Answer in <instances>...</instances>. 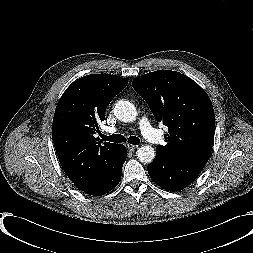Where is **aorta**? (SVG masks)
Instances as JSON below:
<instances>
[{"mask_svg": "<svg viewBox=\"0 0 253 253\" xmlns=\"http://www.w3.org/2000/svg\"><path fill=\"white\" fill-rule=\"evenodd\" d=\"M114 115L120 121L132 122L136 119L137 110L131 102L119 100L114 106ZM137 157L140 162L151 163L155 158V150L149 145L142 146L137 150Z\"/></svg>", "mask_w": 253, "mask_h": 253, "instance_id": "obj_1", "label": "aorta"}]
</instances>
